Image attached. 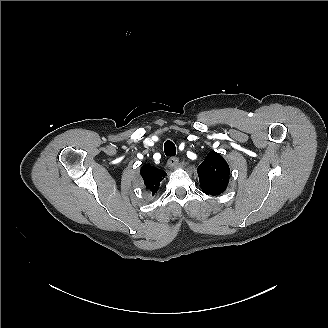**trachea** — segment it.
<instances>
[{"label": "trachea", "mask_w": 328, "mask_h": 328, "mask_svg": "<svg viewBox=\"0 0 328 328\" xmlns=\"http://www.w3.org/2000/svg\"><path fill=\"white\" fill-rule=\"evenodd\" d=\"M164 152L168 157H174L176 155V146L170 140L164 143Z\"/></svg>", "instance_id": "trachea-1"}]
</instances>
